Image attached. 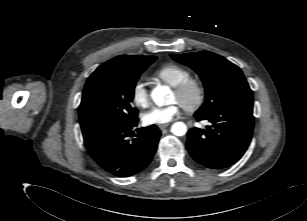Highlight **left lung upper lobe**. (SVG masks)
Here are the masks:
<instances>
[{"label":"left lung upper lobe","instance_id":"5c2ea615","mask_svg":"<svg viewBox=\"0 0 307 221\" xmlns=\"http://www.w3.org/2000/svg\"><path fill=\"white\" fill-rule=\"evenodd\" d=\"M171 57L192 68L205 87V102L197 111L210 114L226 107H253L252 91L240 68L208 51L187 53Z\"/></svg>","mask_w":307,"mask_h":221}]
</instances>
